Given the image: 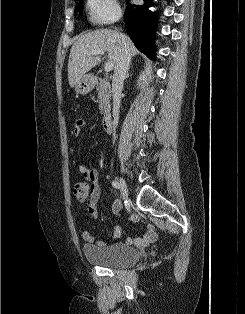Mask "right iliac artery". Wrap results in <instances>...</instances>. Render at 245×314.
<instances>
[{"instance_id":"obj_1","label":"right iliac artery","mask_w":245,"mask_h":314,"mask_svg":"<svg viewBox=\"0 0 245 314\" xmlns=\"http://www.w3.org/2000/svg\"><path fill=\"white\" fill-rule=\"evenodd\" d=\"M112 186H113L114 188H116V189H119V188H120L119 183L116 182V181H113V182H112Z\"/></svg>"}]
</instances>
